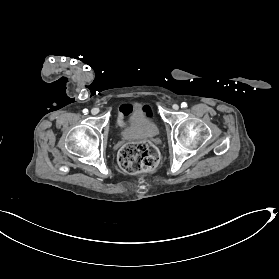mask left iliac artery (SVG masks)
<instances>
[{
  "mask_svg": "<svg viewBox=\"0 0 279 279\" xmlns=\"http://www.w3.org/2000/svg\"><path fill=\"white\" fill-rule=\"evenodd\" d=\"M181 107H183V108L187 107V103L186 102H182Z\"/></svg>",
  "mask_w": 279,
  "mask_h": 279,
  "instance_id": "44dca946",
  "label": "left iliac artery"
}]
</instances>
